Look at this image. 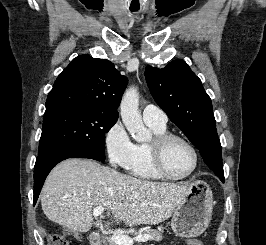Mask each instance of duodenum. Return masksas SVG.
Listing matches in <instances>:
<instances>
[{"label":"duodenum","instance_id":"obj_1","mask_svg":"<svg viewBox=\"0 0 266 245\" xmlns=\"http://www.w3.org/2000/svg\"><path fill=\"white\" fill-rule=\"evenodd\" d=\"M91 245H102L101 240L95 235L92 234V238H91Z\"/></svg>","mask_w":266,"mask_h":245}]
</instances>
